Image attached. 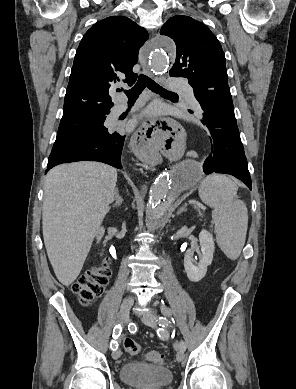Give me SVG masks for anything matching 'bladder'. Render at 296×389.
Listing matches in <instances>:
<instances>
[{"label": "bladder", "instance_id": "1", "mask_svg": "<svg viewBox=\"0 0 296 389\" xmlns=\"http://www.w3.org/2000/svg\"><path fill=\"white\" fill-rule=\"evenodd\" d=\"M120 379L137 389H159L172 382L169 369L162 365H151L138 361H129L120 368Z\"/></svg>", "mask_w": 296, "mask_h": 389}]
</instances>
